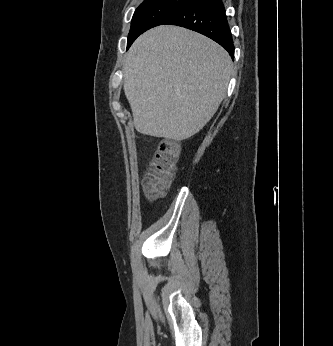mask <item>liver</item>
<instances>
[{"label":"liver","instance_id":"obj_1","mask_svg":"<svg viewBox=\"0 0 333 346\" xmlns=\"http://www.w3.org/2000/svg\"><path fill=\"white\" fill-rule=\"evenodd\" d=\"M232 70L229 54L199 33L165 25L145 32L123 65L135 129L175 141L195 135L218 110Z\"/></svg>","mask_w":333,"mask_h":346}]
</instances>
